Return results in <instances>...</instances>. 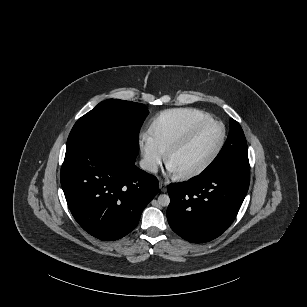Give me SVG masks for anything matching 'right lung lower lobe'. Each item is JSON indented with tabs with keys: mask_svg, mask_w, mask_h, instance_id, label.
<instances>
[{
	"mask_svg": "<svg viewBox=\"0 0 307 307\" xmlns=\"http://www.w3.org/2000/svg\"><path fill=\"white\" fill-rule=\"evenodd\" d=\"M61 185L75 220L104 241L131 232L158 190L156 177L135 166V158L117 144L102 139L66 150Z\"/></svg>",
	"mask_w": 307,
	"mask_h": 307,
	"instance_id": "1",
	"label": "right lung lower lobe"
}]
</instances>
